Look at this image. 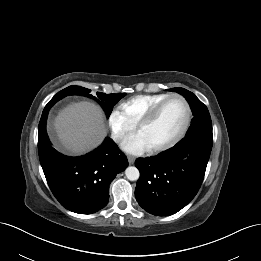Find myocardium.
<instances>
[{"label":"myocardium","mask_w":261,"mask_h":261,"mask_svg":"<svg viewBox=\"0 0 261 261\" xmlns=\"http://www.w3.org/2000/svg\"><path fill=\"white\" fill-rule=\"evenodd\" d=\"M177 99L179 100L184 108H185V120H184V124L182 126V128L180 129V131L178 132V134L169 142L159 145V146H155V147H151L149 148V151L152 153H158V152H162V151H166L172 147H174L175 145H177L186 135V133L189 130V127L191 125V120H192V110L190 107L189 102L180 94H171L168 97H166L165 99H163L162 101H160L158 104H156L148 113L146 116H144L136 125V130L137 132H139V130L149 124H151L159 115V113L161 112V110L163 109V107L170 102L171 100Z\"/></svg>","instance_id":"obj_1"}]
</instances>
